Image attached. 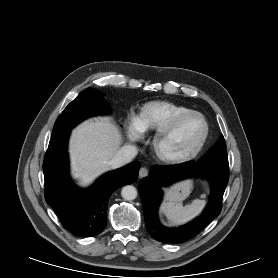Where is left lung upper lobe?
Wrapping results in <instances>:
<instances>
[{
    "label": "left lung upper lobe",
    "instance_id": "1",
    "mask_svg": "<svg viewBox=\"0 0 278 278\" xmlns=\"http://www.w3.org/2000/svg\"><path fill=\"white\" fill-rule=\"evenodd\" d=\"M197 163L205 167L229 171L227 148L223 135Z\"/></svg>",
    "mask_w": 278,
    "mask_h": 278
}]
</instances>
